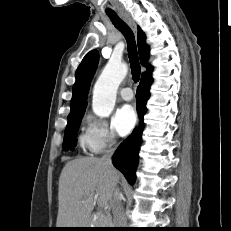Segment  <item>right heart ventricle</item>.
Wrapping results in <instances>:
<instances>
[{
    "label": "right heart ventricle",
    "instance_id": "e07e8e85",
    "mask_svg": "<svg viewBox=\"0 0 231 231\" xmlns=\"http://www.w3.org/2000/svg\"><path fill=\"white\" fill-rule=\"evenodd\" d=\"M79 144H80L81 148L85 151H89L92 153L98 152L97 147L95 145V142L87 130L80 134Z\"/></svg>",
    "mask_w": 231,
    "mask_h": 231
}]
</instances>
